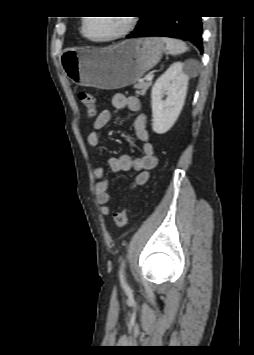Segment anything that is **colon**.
I'll use <instances>...</instances> for the list:
<instances>
[{"label": "colon", "mask_w": 254, "mask_h": 355, "mask_svg": "<svg viewBox=\"0 0 254 355\" xmlns=\"http://www.w3.org/2000/svg\"><path fill=\"white\" fill-rule=\"evenodd\" d=\"M79 100L83 105L89 116H94L97 112L96 101L94 97L88 92H80ZM130 210L128 208L122 209L114 214L113 219L117 227H124L128 223Z\"/></svg>", "instance_id": "obj_1"}]
</instances>
